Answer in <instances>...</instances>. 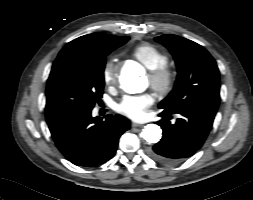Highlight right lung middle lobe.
I'll use <instances>...</instances> for the list:
<instances>
[{
  "label": "right lung middle lobe",
  "instance_id": "dd1d6c3e",
  "mask_svg": "<svg viewBox=\"0 0 253 200\" xmlns=\"http://www.w3.org/2000/svg\"><path fill=\"white\" fill-rule=\"evenodd\" d=\"M129 37H116L95 52L61 51L46 88V114L91 111L104 87L106 56Z\"/></svg>",
  "mask_w": 253,
  "mask_h": 200
}]
</instances>
